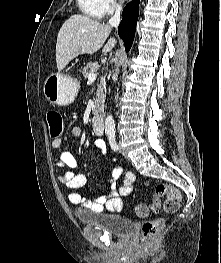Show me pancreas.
I'll return each mask as SVG.
<instances>
[{
    "label": "pancreas",
    "mask_w": 221,
    "mask_h": 263,
    "mask_svg": "<svg viewBox=\"0 0 221 263\" xmlns=\"http://www.w3.org/2000/svg\"><path fill=\"white\" fill-rule=\"evenodd\" d=\"M98 69H99V64L97 62H91L88 63L83 68L82 74L84 75V77H88L90 73H93ZM104 87H105V81L104 79H101L97 89V97L95 99V109L93 110L94 115H98V113L104 108V101H105V95L103 91Z\"/></svg>",
    "instance_id": "cf45deb5"
}]
</instances>
